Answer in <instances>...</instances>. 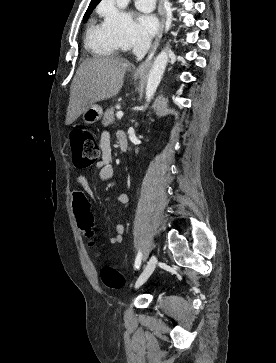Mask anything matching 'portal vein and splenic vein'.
<instances>
[{
  "mask_svg": "<svg viewBox=\"0 0 276 363\" xmlns=\"http://www.w3.org/2000/svg\"><path fill=\"white\" fill-rule=\"evenodd\" d=\"M116 117H117V118H122V117H123V112H122V111H118V112L116 113Z\"/></svg>",
  "mask_w": 276,
  "mask_h": 363,
  "instance_id": "1",
  "label": "portal vein and splenic vein"
}]
</instances>
